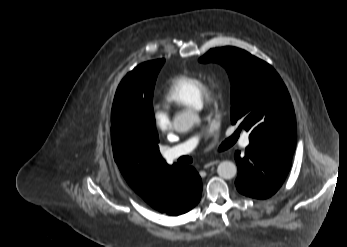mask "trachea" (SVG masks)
Masks as SVG:
<instances>
[{
  "label": "trachea",
  "mask_w": 347,
  "mask_h": 247,
  "mask_svg": "<svg viewBox=\"0 0 347 247\" xmlns=\"http://www.w3.org/2000/svg\"><path fill=\"white\" fill-rule=\"evenodd\" d=\"M182 162H184V163H190V162H192V159L186 158V159H184Z\"/></svg>",
  "instance_id": "1"
}]
</instances>
